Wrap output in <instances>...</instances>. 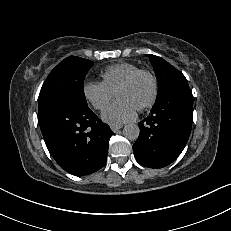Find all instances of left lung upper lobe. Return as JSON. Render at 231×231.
Instances as JSON below:
<instances>
[{
    "label": "left lung upper lobe",
    "instance_id": "obj_1",
    "mask_svg": "<svg viewBox=\"0 0 231 231\" xmlns=\"http://www.w3.org/2000/svg\"><path fill=\"white\" fill-rule=\"evenodd\" d=\"M147 56L154 67L158 81L157 99L173 87L188 85L185 76L167 61L155 55L149 54Z\"/></svg>",
    "mask_w": 231,
    "mask_h": 231
}]
</instances>
